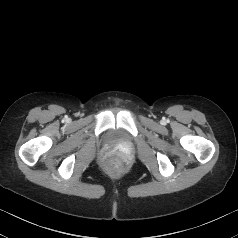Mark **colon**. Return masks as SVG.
<instances>
[{
  "instance_id": "5ec220e1",
  "label": "colon",
  "mask_w": 238,
  "mask_h": 238,
  "mask_svg": "<svg viewBox=\"0 0 238 238\" xmlns=\"http://www.w3.org/2000/svg\"><path fill=\"white\" fill-rule=\"evenodd\" d=\"M110 168H111L112 172L116 173V174H119L123 171V166L117 161H112L110 163Z\"/></svg>"
}]
</instances>
